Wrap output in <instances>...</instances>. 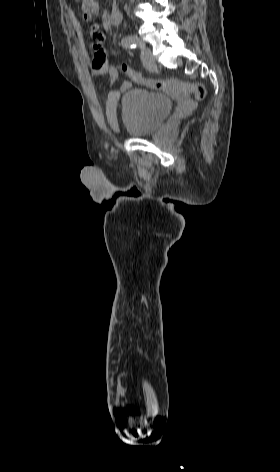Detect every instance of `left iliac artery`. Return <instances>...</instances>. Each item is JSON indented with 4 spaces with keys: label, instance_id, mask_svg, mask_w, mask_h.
I'll return each mask as SVG.
<instances>
[{
    "label": "left iliac artery",
    "instance_id": "44dca946",
    "mask_svg": "<svg viewBox=\"0 0 280 472\" xmlns=\"http://www.w3.org/2000/svg\"><path fill=\"white\" fill-rule=\"evenodd\" d=\"M121 44L125 48H136L137 45H140V41L137 36L130 35L122 39Z\"/></svg>",
    "mask_w": 280,
    "mask_h": 472
}]
</instances>
